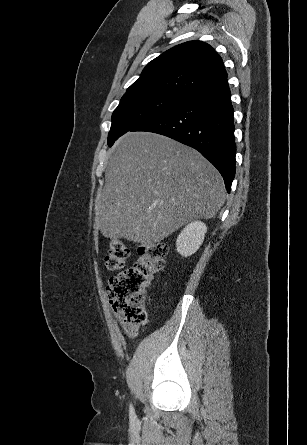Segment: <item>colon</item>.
Segmentation results:
<instances>
[{
  "label": "colon",
  "mask_w": 307,
  "mask_h": 445,
  "mask_svg": "<svg viewBox=\"0 0 307 445\" xmlns=\"http://www.w3.org/2000/svg\"><path fill=\"white\" fill-rule=\"evenodd\" d=\"M130 250L118 238L112 239L109 252L105 256V267L110 271L121 270ZM166 245L156 243L138 248L135 263L109 279L107 296L113 309L128 323L141 324L146 320V299L154 277L165 264Z\"/></svg>",
  "instance_id": "5ec220e1"
}]
</instances>
